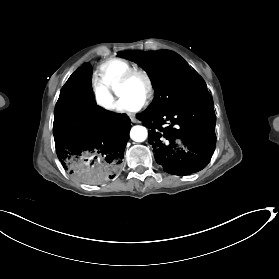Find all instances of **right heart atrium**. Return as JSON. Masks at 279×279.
Returning <instances> with one entry per match:
<instances>
[{
	"mask_svg": "<svg viewBox=\"0 0 279 279\" xmlns=\"http://www.w3.org/2000/svg\"><path fill=\"white\" fill-rule=\"evenodd\" d=\"M94 101L97 107L104 113H112L115 110L117 99L109 89L99 83L93 85Z\"/></svg>",
	"mask_w": 279,
	"mask_h": 279,
	"instance_id": "d8ad5b80",
	"label": "right heart atrium"
}]
</instances>
